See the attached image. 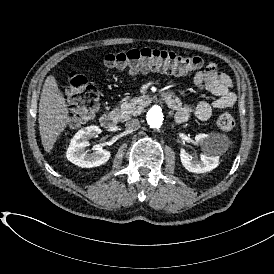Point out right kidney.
Wrapping results in <instances>:
<instances>
[{"label": "right kidney", "instance_id": "obj_1", "mask_svg": "<svg viewBox=\"0 0 274 274\" xmlns=\"http://www.w3.org/2000/svg\"><path fill=\"white\" fill-rule=\"evenodd\" d=\"M101 133L98 126L90 125L80 129L71 139L66 151L67 159L82 168H92L106 163L111 153L104 149H98L93 153H87L85 148L89 146V140Z\"/></svg>", "mask_w": 274, "mask_h": 274}]
</instances>
